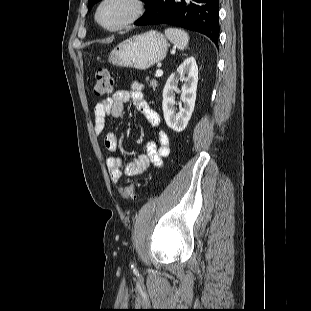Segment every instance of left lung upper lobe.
Instances as JSON below:
<instances>
[{"label":"left lung upper lobe","instance_id":"5c2ea615","mask_svg":"<svg viewBox=\"0 0 311 311\" xmlns=\"http://www.w3.org/2000/svg\"><path fill=\"white\" fill-rule=\"evenodd\" d=\"M98 1L100 0H88V9H90ZM142 1L146 3L148 0H142Z\"/></svg>","mask_w":311,"mask_h":311}]
</instances>
